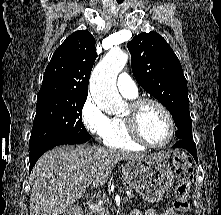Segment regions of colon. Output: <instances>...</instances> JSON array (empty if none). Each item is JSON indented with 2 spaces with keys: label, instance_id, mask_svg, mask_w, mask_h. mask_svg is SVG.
I'll list each match as a JSON object with an SVG mask.
<instances>
[{
  "label": "colon",
  "instance_id": "5ec220e1",
  "mask_svg": "<svg viewBox=\"0 0 221 215\" xmlns=\"http://www.w3.org/2000/svg\"><path fill=\"white\" fill-rule=\"evenodd\" d=\"M176 175L174 209L181 215H188L190 210L189 193L193 181V164L189 155L183 151L174 153Z\"/></svg>",
  "mask_w": 221,
  "mask_h": 215
}]
</instances>
